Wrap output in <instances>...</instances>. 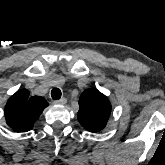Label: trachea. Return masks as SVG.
<instances>
[{
  "instance_id": "obj_1",
  "label": "trachea",
  "mask_w": 165,
  "mask_h": 165,
  "mask_svg": "<svg viewBox=\"0 0 165 165\" xmlns=\"http://www.w3.org/2000/svg\"><path fill=\"white\" fill-rule=\"evenodd\" d=\"M61 90L59 88H53L52 91H51V97L52 99L54 100H58L61 98Z\"/></svg>"
}]
</instances>
